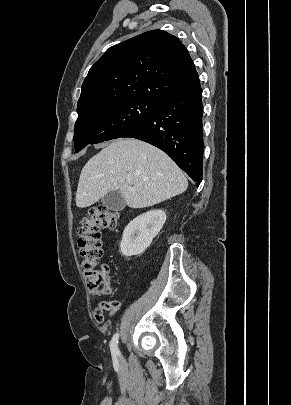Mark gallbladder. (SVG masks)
<instances>
[{
    "mask_svg": "<svg viewBox=\"0 0 291 405\" xmlns=\"http://www.w3.org/2000/svg\"><path fill=\"white\" fill-rule=\"evenodd\" d=\"M103 205L112 211H121L125 208L126 203L120 191H111L102 198Z\"/></svg>",
    "mask_w": 291,
    "mask_h": 405,
    "instance_id": "1",
    "label": "gallbladder"
}]
</instances>
